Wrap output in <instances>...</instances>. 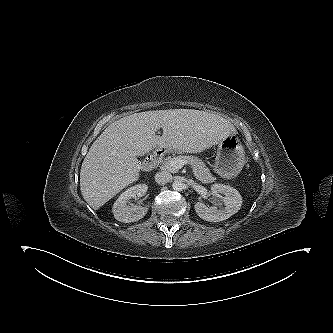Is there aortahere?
<instances>
[{
  "label": "aorta",
  "instance_id": "1",
  "mask_svg": "<svg viewBox=\"0 0 333 333\" xmlns=\"http://www.w3.org/2000/svg\"><path fill=\"white\" fill-rule=\"evenodd\" d=\"M172 188L176 191H182L185 188V184L181 180H174L172 183Z\"/></svg>",
  "mask_w": 333,
  "mask_h": 333
}]
</instances>
